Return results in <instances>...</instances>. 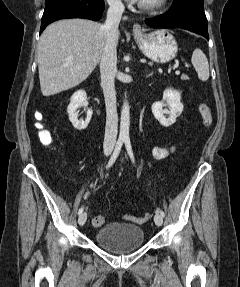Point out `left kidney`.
Instances as JSON below:
<instances>
[{
  "instance_id": "left-kidney-1",
  "label": "left kidney",
  "mask_w": 240,
  "mask_h": 287,
  "mask_svg": "<svg viewBox=\"0 0 240 287\" xmlns=\"http://www.w3.org/2000/svg\"><path fill=\"white\" fill-rule=\"evenodd\" d=\"M164 107H168V109H163ZM183 108L180 93L173 89H166L163 92V100L152 104V113L162 126L169 127L176 122V118L182 113Z\"/></svg>"
}]
</instances>
